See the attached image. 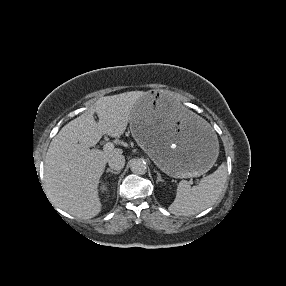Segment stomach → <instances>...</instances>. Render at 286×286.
<instances>
[{
	"mask_svg": "<svg viewBox=\"0 0 286 286\" xmlns=\"http://www.w3.org/2000/svg\"><path fill=\"white\" fill-rule=\"evenodd\" d=\"M129 122L133 138L169 176L198 177L217 160L214 128L184 107L173 92H146L135 104Z\"/></svg>",
	"mask_w": 286,
	"mask_h": 286,
	"instance_id": "stomach-1",
	"label": "stomach"
}]
</instances>
